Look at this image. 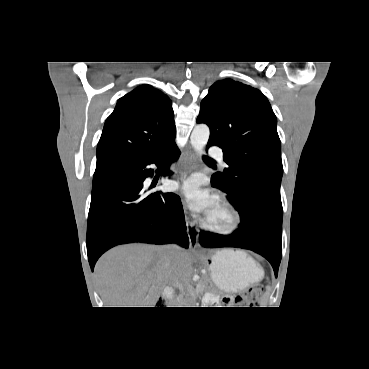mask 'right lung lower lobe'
<instances>
[{
  "mask_svg": "<svg viewBox=\"0 0 369 369\" xmlns=\"http://www.w3.org/2000/svg\"><path fill=\"white\" fill-rule=\"evenodd\" d=\"M180 155L172 140L149 154L119 162L93 180L87 224V254L91 270L108 249L126 243H178L189 247L184 211L174 193L151 192L143 185L155 164L170 175V164Z\"/></svg>",
  "mask_w": 369,
  "mask_h": 369,
  "instance_id": "obj_1",
  "label": "right lung lower lobe"
}]
</instances>
